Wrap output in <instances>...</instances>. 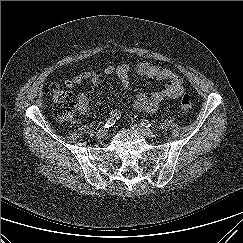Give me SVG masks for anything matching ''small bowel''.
Segmentation results:
<instances>
[{"label":"small bowel","mask_w":243,"mask_h":243,"mask_svg":"<svg viewBox=\"0 0 243 243\" xmlns=\"http://www.w3.org/2000/svg\"><path fill=\"white\" fill-rule=\"evenodd\" d=\"M132 69L126 63L108 64L93 71H83L72 77L67 86L76 88L88 81L96 86L104 75H116L121 80L125 89L130 88V75ZM136 73L141 77L166 81V87L158 92L147 94L138 92L135 96V107L145 112H154L160 104L178 99L186 89L185 78L178 71L162 68L159 64L144 61L136 67ZM80 112L87 111V99L79 98ZM110 116L117 114L115 110L109 112Z\"/></svg>","instance_id":"c3829d8e"}]
</instances>
